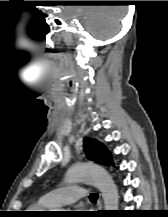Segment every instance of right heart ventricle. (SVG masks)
<instances>
[{"label":"right heart ventricle","mask_w":168,"mask_h":217,"mask_svg":"<svg viewBox=\"0 0 168 217\" xmlns=\"http://www.w3.org/2000/svg\"><path fill=\"white\" fill-rule=\"evenodd\" d=\"M46 208H49V207H47L41 200H39L36 203L28 207V210H29L28 212H30V214H34L36 212L43 211Z\"/></svg>","instance_id":"obj_1"}]
</instances>
